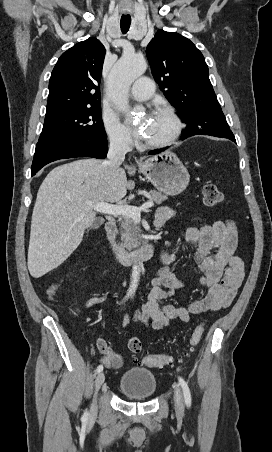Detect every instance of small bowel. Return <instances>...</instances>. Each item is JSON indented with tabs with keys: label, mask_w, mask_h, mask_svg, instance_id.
Segmentation results:
<instances>
[{
	"label": "small bowel",
	"mask_w": 272,
	"mask_h": 452,
	"mask_svg": "<svg viewBox=\"0 0 272 452\" xmlns=\"http://www.w3.org/2000/svg\"><path fill=\"white\" fill-rule=\"evenodd\" d=\"M175 216L173 208L159 207L155 218V222L160 224L157 227H162ZM195 223V226L186 229L185 239L178 249L166 248L161 251V268L150 283L147 301L132 316H124L125 326L131 322H140L147 328L162 330L173 321L187 323L199 313L224 309L232 303L245 277L244 263L236 255V225L231 220L207 224L199 218L195 219ZM185 250L193 251V259L200 273L199 284L207 289V294L186 306H161V301L184 287V281L171 270V266L177 261L179 252ZM107 298V294L93 296L86 301L85 307L101 304ZM132 340L140 341L136 335L130 334L128 346ZM104 345L108 352L107 345Z\"/></svg>",
	"instance_id": "obj_1"
}]
</instances>
